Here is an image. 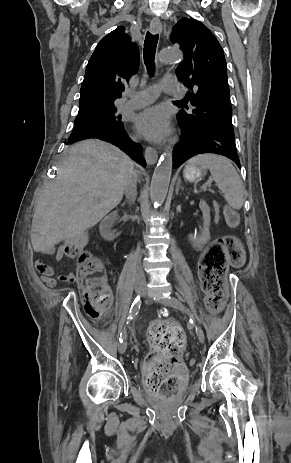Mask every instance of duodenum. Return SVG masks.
Here are the masks:
<instances>
[{"label": "duodenum", "mask_w": 291, "mask_h": 463, "mask_svg": "<svg viewBox=\"0 0 291 463\" xmlns=\"http://www.w3.org/2000/svg\"><path fill=\"white\" fill-rule=\"evenodd\" d=\"M119 212L114 210L112 214L108 215L101 222V233L102 236L109 242L114 241L117 238V232L114 229V224L118 219Z\"/></svg>", "instance_id": "obj_1"}]
</instances>
